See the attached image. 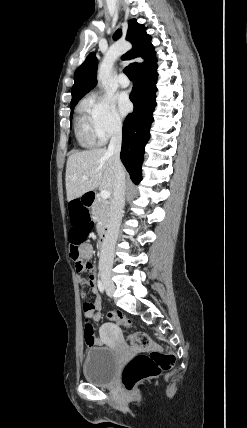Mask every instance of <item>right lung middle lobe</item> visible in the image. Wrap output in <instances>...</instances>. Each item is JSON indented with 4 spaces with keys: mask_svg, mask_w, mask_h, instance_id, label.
Returning <instances> with one entry per match:
<instances>
[{
    "mask_svg": "<svg viewBox=\"0 0 247 428\" xmlns=\"http://www.w3.org/2000/svg\"><path fill=\"white\" fill-rule=\"evenodd\" d=\"M76 104H77V103H75V104H73V105H70V108H71L70 119H72L73 111H74V107L76 106Z\"/></svg>",
    "mask_w": 247,
    "mask_h": 428,
    "instance_id": "1",
    "label": "right lung middle lobe"
}]
</instances>
